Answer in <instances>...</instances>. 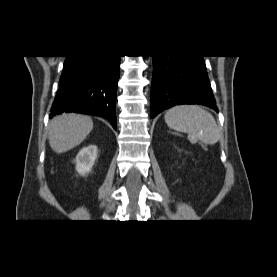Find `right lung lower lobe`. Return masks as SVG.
I'll list each match as a JSON object with an SVG mask.
<instances>
[{
	"label": "right lung lower lobe",
	"mask_w": 277,
	"mask_h": 277,
	"mask_svg": "<svg viewBox=\"0 0 277 277\" xmlns=\"http://www.w3.org/2000/svg\"><path fill=\"white\" fill-rule=\"evenodd\" d=\"M120 56H67L50 117L63 112L96 115L116 126Z\"/></svg>",
	"instance_id": "1"
}]
</instances>
